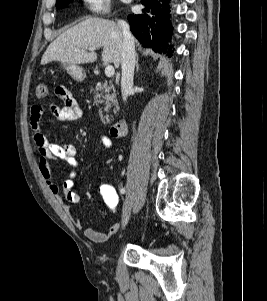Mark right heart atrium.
Listing matches in <instances>:
<instances>
[{"label": "right heart atrium", "instance_id": "1", "mask_svg": "<svg viewBox=\"0 0 267 301\" xmlns=\"http://www.w3.org/2000/svg\"><path fill=\"white\" fill-rule=\"evenodd\" d=\"M88 11L95 14H109L111 0H83Z\"/></svg>", "mask_w": 267, "mask_h": 301}]
</instances>
